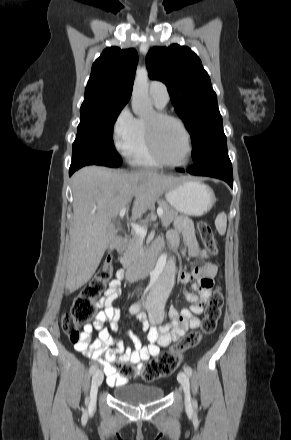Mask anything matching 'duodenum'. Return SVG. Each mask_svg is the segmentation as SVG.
<instances>
[{"label":"duodenum","instance_id":"1","mask_svg":"<svg viewBox=\"0 0 291 440\" xmlns=\"http://www.w3.org/2000/svg\"><path fill=\"white\" fill-rule=\"evenodd\" d=\"M114 238L116 241L115 248L117 249L119 242L122 240V235L117 234ZM157 258L158 252L155 249L148 250L139 262L127 267L125 272L126 279L132 282L148 275L154 269Z\"/></svg>","mask_w":291,"mask_h":440}]
</instances>
